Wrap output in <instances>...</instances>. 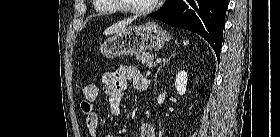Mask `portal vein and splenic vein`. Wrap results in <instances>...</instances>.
Returning <instances> with one entry per match:
<instances>
[{
    "instance_id": "1",
    "label": "portal vein and splenic vein",
    "mask_w": 280,
    "mask_h": 137,
    "mask_svg": "<svg viewBox=\"0 0 280 137\" xmlns=\"http://www.w3.org/2000/svg\"><path fill=\"white\" fill-rule=\"evenodd\" d=\"M156 62H157V63L161 62V59H157Z\"/></svg>"
}]
</instances>
